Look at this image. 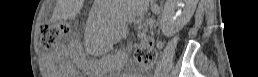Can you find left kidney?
<instances>
[{"label": "left kidney", "instance_id": "left-kidney-1", "mask_svg": "<svg viewBox=\"0 0 258 77\" xmlns=\"http://www.w3.org/2000/svg\"><path fill=\"white\" fill-rule=\"evenodd\" d=\"M185 2H186V7L184 8L181 16L177 18V22L181 26L188 23L191 17L193 16L198 0H185Z\"/></svg>", "mask_w": 258, "mask_h": 77}]
</instances>
